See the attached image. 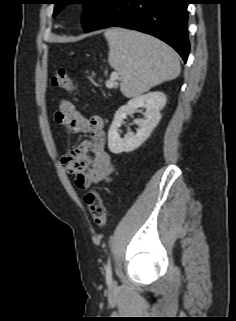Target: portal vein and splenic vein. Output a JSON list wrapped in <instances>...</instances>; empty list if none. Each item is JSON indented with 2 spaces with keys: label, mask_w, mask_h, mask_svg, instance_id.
<instances>
[{
  "label": "portal vein and splenic vein",
  "mask_w": 236,
  "mask_h": 321,
  "mask_svg": "<svg viewBox=\"0 0 236 321\" xmlns=\"http://www.w3.org/2000/svg\"><path fill=\"white\" fill-rule=\"evenodd\" d=\"M116 78H117V74H114V75L112 76L111 80L106 83V86H107V87H113V86H114V80H115Z\"/></svg>",
  "instance_id": "obj_1"
}]
</instances>
